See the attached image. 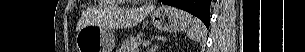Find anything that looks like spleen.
Segmentation results:
<instances>
[{
	"label": "spleen",
	"instance_id": "spleen-1",
	"mask_svg": "<svg viewBox=\"0 0 305 52\" xmlns=\"http://www.w3.org/2000/svg\"><path fill=\"white\" fill-rule=\"evenodd\" d=\"M193 23V26L188 30L187 36L194 41H200L206 35V29L197 18H194Z\"/></svg>",
	"mask_w": 305,
	"mask_h": 52
}]
</instances>
